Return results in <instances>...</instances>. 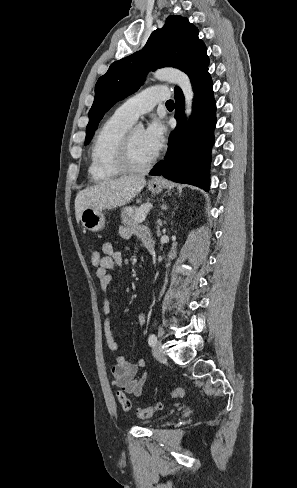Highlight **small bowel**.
<instances>
[{
    "label": "small bowel",
    "mask_w": 297,
    "mask_h": 488,
    "mask_svg": "<svg viewBox=\"0 0 297 488\" xmlns=\"http://www.w3.org/2000/svg\"><path fill=\"white\" fill-rule=\"evenodd\" d=\"M118 232L122 239H129L132 235H135L141 240L146 248L150 245L154 246L153 237L145 228L121 226ZM102 252L103 256L101 257L100 266L96 270V277L99 282V287L104 293L103 312L106 317L104 324L105 341L108 349L113 354L114 359V365L112 367V386L128 394L140 396L146 382V373L144 371L146 362L141 358L138 359L136 363H130L125 355L117 354V351L120 349V345L115 341L111 330L110 318L112 309L110 299L107 295L109 286L113 279L110 270H112L115 266L122 265L123 256L110 242H104L102 244ZM145 321V313L140 314L139 322L144 324Z\"/></svg>",
    "instance_id": "1"
}]
</instances>
